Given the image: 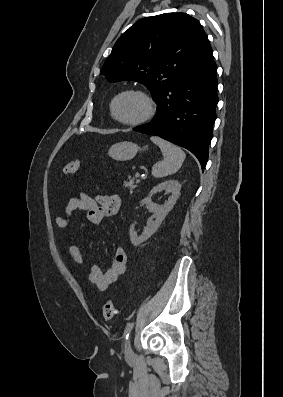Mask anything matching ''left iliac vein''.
Here are the masks:
<instances>
[{"label": "left iliac vein", "instance_id": "obj_1", "mask_svg": "<svg viewBox=\"0 0 283 397\" xmlns=\"http://www.w3.org/2000/svg\"><path fill=\"white\" fill-rule=\"evenodd\" d=\"M133 355H134V353H133V350H132V347H131V343H130V340H128L127 347H126V350H125V357L127 359H130V358L133 357Z\"/></svg>", "mask_w": 283, "mask_h": 397}]
</instances>
